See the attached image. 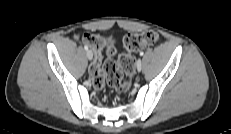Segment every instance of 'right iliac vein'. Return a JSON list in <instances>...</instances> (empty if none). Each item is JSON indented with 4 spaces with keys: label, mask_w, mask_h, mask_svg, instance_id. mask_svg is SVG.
Here are the masks:
<instances>
[{
    "label": "right iliac vein",
    "mask_w": 231,
    "mask_h": 134,
    "mask_svg": "<svg viewBox=\"0 0 231 134\" xmlns=\"http://www.w3.org/2000/svg\"><path fill=\"white\" fill-rule=\"evenodd\" d=\"M86 56H87V58H88L89 60H92V58H93V53H92V51H91V50H87Z\"/></svg>",
    "instance_id": "right-iliac-vein-1"
}]
</instances>
